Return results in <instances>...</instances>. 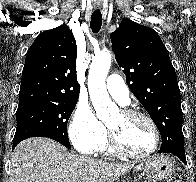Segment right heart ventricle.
I'll use <instances>...</instances> for the list:
<instances>
[{
    "instance_id": "e07e8e85",
    "label": "right heart ventricle",
    "mask_w": 196,
    "mask_h": 182,
    "mask_svg": "<svg viewBox=\"0 0 196 182\" xmlns=\"http://www.w3.org/2000/svg\"><path fill=\"white\" fill-rule=\"evenodd\" d=\"M101 151H106L108 153H113L114 151L112 150V148L107 145L106 143L104 144V146L102 147Z\"/></svg>"
}]
</instances>
